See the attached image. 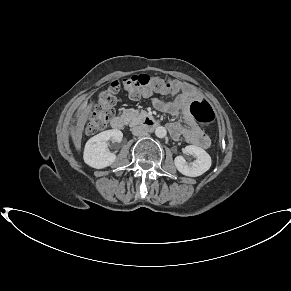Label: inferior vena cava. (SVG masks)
Wrapping results in <instances>:
<instances>
[{"instance_id":"inferior-vena-cava-1","label":"inferior vena cava","mask_w":291,"mask_h":291,"mask_svg":"<svg viewBox=\"0 0 291 291\" xmlns=\"http://www.w3.org/2000/svg\"><path fill=\"white\" fill-rule=\"evenodd\" d=\"M134 136H145L147 135V128L144 126H135L131 129Z\"/></svg>"}]
</instances>
